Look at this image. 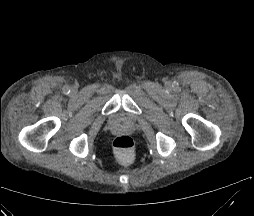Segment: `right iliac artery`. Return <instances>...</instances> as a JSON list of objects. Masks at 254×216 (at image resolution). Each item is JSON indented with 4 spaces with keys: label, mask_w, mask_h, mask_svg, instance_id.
Wrapping results in <instances>:
<instances>
[{
    "label": "right iliac artery",
    "mask_w": 254,
    "mask_h": 216,
    "mask_svg": "<svg viewBox=\"0 0 254 216\" xmlns=\"http://www.w3.org/2000/svg\"><path fill=\"white\" fill-rule=\"evenodd\" d=\"M69 91H70L69 88H64V93H65V94H68Z\"/></svg>",
    "instance_id": "1"
}]
</instances>
